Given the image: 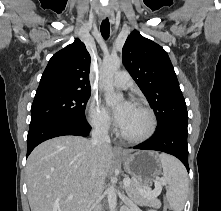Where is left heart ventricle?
Instances as JSON below:
<instances>
[{"label": "left heart ventricle", "mask_w": 221, "mask_h": 211, "mask_svg": "<svg viewBox=\"0 0 221 211\" xmlns=\"http://www.w3.org/2000/svg\"><path fill=\"white\" fill-rule=\"evenodd\" d=\"M149 127V117L144 110L132 104L120 129L129 136H141L146 133Z\"/></svg>", "instance_id": "b2bd125f"}]
</instances>
